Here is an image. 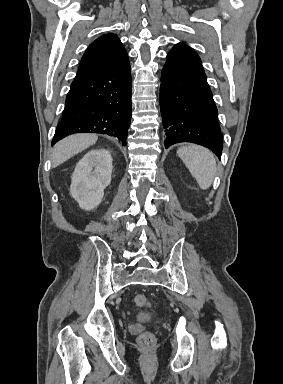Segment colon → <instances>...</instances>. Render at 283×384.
I'll list each match as a JSON object with an SVG mask.
<instances>
[{
    "mask_svg": "<svg viewBox=\"0 0 283 384\" xmlns=\"http://www.w3.org/2000/svg\"><path fill=\"white\" fill-rule=\"evenodd\" d=\"M135 305L139 308L149 309L151 303L144 294H137L134 298ZM154 342V336L150 332H144L139 336V343L143 346H150Z\"/></svg>",
    "mask_w": 283,
    "mask_h": 384,
    "instance_id": "colon-1",
    "label": "colon"
}]
</instances>
